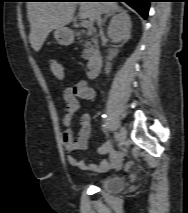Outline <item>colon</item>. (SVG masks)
Instances as JSON below:
<instances>
[{
    "label": "colon",
    "instance_id": "1",
    "mask_svg": "<svg viewBox=\"0 0 188 213\" xmlns=\"http://www.w3.org/2000/svg\"><path fill=\"white\" fill-rule=\"evenodd\" d=\"M50 68L52 73L54 74L55 77L58 79H63L64 78V70L61 65V63L57 60H51L50 61Z\"/></svg>",
    "mask_w": 188,
    "mask_h": 213
}]
</instances>
